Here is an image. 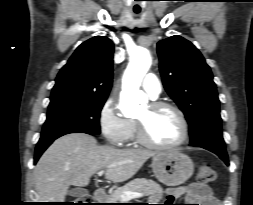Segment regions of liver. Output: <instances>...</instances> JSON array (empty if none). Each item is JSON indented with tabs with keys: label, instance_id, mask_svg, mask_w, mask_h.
Segmentation results:
<instances>
[{
	"label": "liver",
	"instance_id": "6515ba94",
	"mask_svg": "<svg viewBox=\"0 0 253 205\" xmlns=\"http://www.w3.org/2000/svg\"><path fill=\"white\" fill-rule=\"evenodd\" d=\"M155 152L99 146L85 133L64 135L44 152L34 168L35 188L42 202H64L70 185L85 187L105 169L114 183L132 178Z\"/></svg>",
	"mask_w": 253,
	"mask_h": 205
}]
</instances>
